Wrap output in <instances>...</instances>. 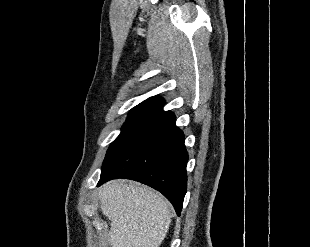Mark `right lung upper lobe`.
Masks as SVG:
<instances>
[{"mask_svg": "<svg viewBox=\"0 0 310 247\" xmlns=\"http://www.w3.org/2000/svg\"><path fill=\"white\" fill-rule=\"evenodd\" d=\"M164 99L153 96L135 106L132 110H150L157 114L163 112Z\"/></svg>", "mask_w": 310, "mask_h": 247, "instance_id": "obj_1", "label": "right lung upper lobe"}]
</instances>
